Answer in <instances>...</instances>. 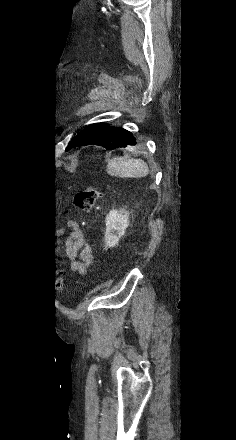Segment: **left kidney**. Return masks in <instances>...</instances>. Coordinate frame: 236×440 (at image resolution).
Wrapping results in <instances>:
<instances>
[{
  "instance_id": "obj_1",
  "label": "left kidney",
  "mask_w": 236,
  "mask_h": 440,
  "mask_svg": "<svg viewBox=\"0 0 236 440\" xmlns=\"http://www.w3.org/2000/svg\"><path fill=\"white\" fill-rule=\"evenodd\" d=\"M105 245L108 248L118 245L119 240L124 236L126 228L129 226V212L124 209L111 210L105 220Z\"/></svg>"
}]
</instances>
